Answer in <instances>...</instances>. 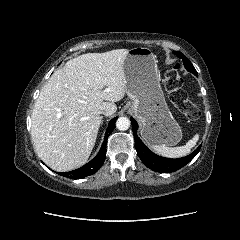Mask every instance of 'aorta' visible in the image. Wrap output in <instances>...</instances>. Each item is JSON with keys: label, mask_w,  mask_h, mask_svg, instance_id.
Instances as JSON below:
<instances>
[{"label": "aorta", "mask_w": 240, "mask_h": 240, "mask_svg": "<svg viewBox=\"0 0 240 240\" xmlns=\"http://www.w3.org/2000/svg\"><path fill=\"white\" fill-rule=\"evenodd\" d=\"M116 127L120 131H125L130 127V120L127 117H119L116 122Z\"/></svg>", "instance_id": "obj_1"}]
</instances>
